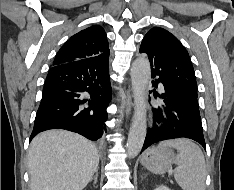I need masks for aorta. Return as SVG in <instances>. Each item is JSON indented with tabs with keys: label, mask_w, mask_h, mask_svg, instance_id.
<instances>
[{
	"label": "aorta",
	"mask_w": 234,
	"mask_h": 190,
	"mask_svg": "<svg viewBox=\"0 0 234 190\" xmlns=\"http://www.w3.org/2000/svg\"><path fill=\"white\" fill-rule=\"evenodd\" d=\"M150 63L145 55L138 57L131 68L134 94V116L127 140V154L134 158L141 151L146 137V89L150 79Z\"/></svg>",
	"instance_id": "1"
}]
</instances>
